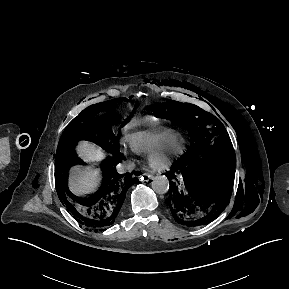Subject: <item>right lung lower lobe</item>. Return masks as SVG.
Wrapping results in <instances>:
<instances>
[{"label": "right lung lower lobe", "mask_w": 289, "mask_h": 289, "mask_svg": "<svg viewBox=\"0 0 289 289\" xmlns=\"http://www.w3.org/2000/svg\"><path fill=\"white\" fill-rule=\"evenodd\" d=\"M115 154L114 158H106L102 162L103 183L101 188L91 196L78 197L70 192L67 185L68 170L61 178H56V190L58 197L73 217L82 225L95 232L111 226L117 221L122 212V205L127 190L138 183L139 172H131L123 176L116 170V165L121 161L118 150H109ZM70 167L76 164H84L77 157L75 151L69 156Z\"/></svg>", "instance_id": "right-lung-lower-lobe-1"}]
</instances>
